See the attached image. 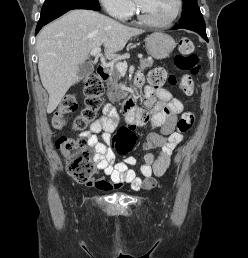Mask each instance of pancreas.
<instances>
[{
  "instance_id": "obj_1",
  "label": "pancreas",
  "mask_w": 248,
  "mask_h": 258,
  "mask_svg": "<svg viewBox=\"0 0 248 258\" xmlns=\"http://www.w3.org/2000/svg\"><path fill=\"white\" fill-rule=\"evenodd\" d=\"M153 66V59L147 58L140 60V68L146 69ZM121 79L119 70L115 67L111 69V76L107 81V95L110 101L114 102L121 98L122 91L119 88L118 81Z\"/></svg>"
}]
</instances>
